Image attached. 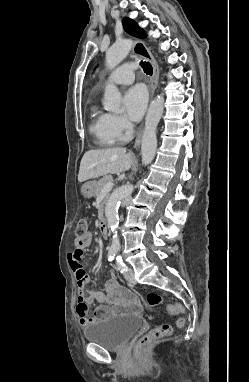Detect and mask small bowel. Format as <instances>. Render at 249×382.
<instances>
[{
    "instance_id": "c3829d8e",
    "label": "small bowel",
    "mask_w": 249,
    "mask_h": 382,
    "mask_svg": "<svg viewBox=\"0 0 249 382\" xmlns=\"http://www.w3.org/2000/svg\"><path fill=\"white\" fill-rule=\"evenodd\" d=\"M92 235L88 233L84 240L78 239L74 242V251L67 253V258L70 261L71 268L75 274L78 296L76 299V312L79 317V323L82 327H87L97 320L106 318L112 314H124L127 312H138L140 310V302L138 299L127 289L121 286L115 276H111L105 283V291H95L87 284L90 282V277L86 273L80 275L83 268L81 262L83 261V251L91 244ZM86 292L87 297L83 295ZM97 303L98 306L93 312V316H88L89 305ZM104 304L110 306L108 308Z\"/></svg>"
}]
</instances>
